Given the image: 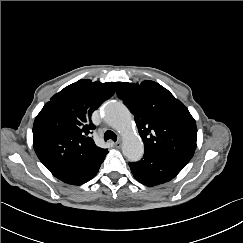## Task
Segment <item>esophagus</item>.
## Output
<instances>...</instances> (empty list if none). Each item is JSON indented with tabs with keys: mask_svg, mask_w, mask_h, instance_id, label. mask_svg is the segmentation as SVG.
Here are the masks:
<instances>
[{
	"mask_svg": "<svg viewBox=\"0 0 243 243\" xmlns=\"http://www.w3.org/2000/svg\"><path fill=\"white\" fill-rule=\"evenodd\" d=\"M114 146H115L116 148H120V147H121V142H120V141L115 142V143H114Z\"/></svg>",
	"mask_w": 243,
	"mask_h": 243,
	"instance_id": "34e87169",
	"label": "esophagus"
}]
</instances>
